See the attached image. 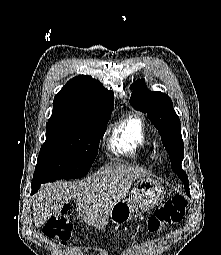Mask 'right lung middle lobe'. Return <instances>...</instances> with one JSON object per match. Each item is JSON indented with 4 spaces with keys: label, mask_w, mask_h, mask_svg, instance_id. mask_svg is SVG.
<instances>
[{
    "label": "right lung middle lobe",
    "mask_w": 221,
    "mask_h": 255,
    "mask_svg": "<svg viewBox=\"0 0 221 255\" xmlns=\"http://www.w3.org/2000/svg\"><path fill=\"white\" fill-rule=\"evenodd\" d=\"M111 113L97 115L92 125L48 122L33 181L46 183L86 175L98 154Z\"/></svg>",
    "instance_id": "dd1d6c3e"
}]
</instances>
